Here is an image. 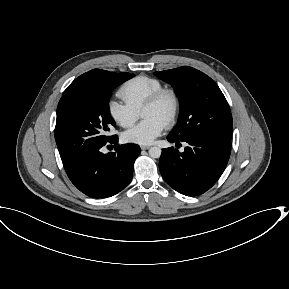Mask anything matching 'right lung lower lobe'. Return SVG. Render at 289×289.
<instances>
[{
    "mask_svg": "<svg viewBox=\"0 0 289 289\" xmlns=\"http://www.w3.org/2000/svg\"><path fill=\"white\" fill-rule=\"evenodd\" d=\"M110 144L115 145V151L102 153V148ZM117 144L118 137L115 136L63 162L69 179L77 189L89 197L106 198L117 194L131 182L140 148L135 144Z\"/></svg>",
    "mask_w": 289,
    "mask_h": 289,
    "instance_id": "1",
    "label": "right lung lower lobe"
}]
</instances>
